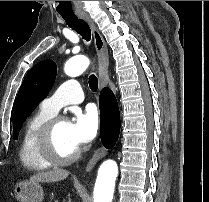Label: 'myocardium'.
<instances>
[{
	"mask_svg": "<svg viewBox=\"0 0 209 202\" xmlns=\"http://www.w3.org/2000/svg\"><path fill=\"white\" fill-rule=\"evenodd\" d=\"M64 121L65 118L63 116H55L50 118L42 126L37 138L38 151L45 160L54 165L71 164L75 162L81 155L80 148L68 156H63L56 150L54 146V133L57 126Z\"/></svg>",
	"mask_w": 209,
	"mask_h": 202,
	"instance_id": "1",
	"label": "myocardium"
}]
</instances>
